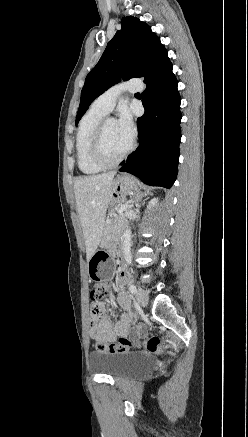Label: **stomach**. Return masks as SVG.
I'll return each mask as SVG.
<instances>
[{
  "label": "stomach",
  "instance_id": "stomach-1",
  "mask_svg": "<svg viewBox=\"0 0 248 437\" xmlns=\"http://www.w3.org/2000/svg\"><path fill=\"white\" fill-rule=\"evenodd\" d=\"M138 190L136 180L129 175H118L114 179V189L110 200V209L115 210L126 196ZM109 240V239H108ZM87 271L90 279H95L96 286H109V276L115 270V263L110 253L103 249L96 251L89 260Z\"/></svg>",
  "mask_w": 248,
  "mask_h": 437
}]
</instances>
